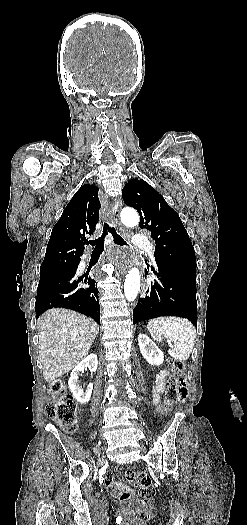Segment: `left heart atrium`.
Returning a JSON list of instances; mask_svg holds the SVG:
<instances>
[{
  "mask_svg": "<svg viewBox=\"0 0 247 525\" xmlns=\"http://www.w3.org/2000/svg\"><path fill=\"white\" fill-rule=\"evenodd\" d=\"M126 254L122 253H112L107 255L106 258H103L101 261H104V271L107 268L115 269L116 271H122L128 269L130 264H127ZM97 277H101L103 272H95Z\"/></svg>",
  "mask_w": 247,
  "mask_h": 525,
  "instance_id": "1",
  "label": "left heart atrium"
}]
</instances>
